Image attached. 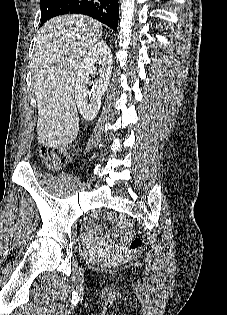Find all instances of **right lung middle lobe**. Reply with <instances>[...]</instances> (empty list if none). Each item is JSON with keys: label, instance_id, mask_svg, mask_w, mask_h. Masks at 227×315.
<instances>
[{"label": "right lung middle lobe", "instance_id": "right-lung-middle-lobe-1", "mask_svg": "<svg viewBox=\"0 0 227 315\" xmlns=\"http://www.w3.org/2000/svg\"><path fill=\"white\" fill-rule=\"evenodd\" d=\"M59 0H40L41 24L47 21L50 9L58 3Z\"/></svg>", "mask_w": 227, "mask_h": 315}]
</instances>
